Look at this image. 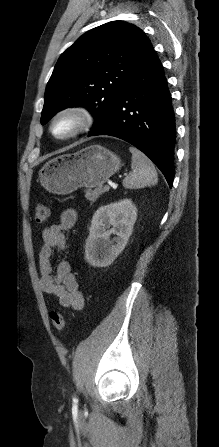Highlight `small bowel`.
I'll use <instances>...</instances> for the list:
<instances>
[{
	"instance_id": "small-bowel-1",
	"label": "small bowel",
	"mask_w": 219,
	"mask_h": 447,
	"mask_svg": "<svg viewBox=\"0 0 219 447\" xmlns=\"http://www.w3.org/2000/svg\"><path fill=\"white\" fill-rule=\"evenodd\" d=\"M77 221V213L69 208L62 212L58 222L42 231L43 245L39 252L40 286L54 296L61 306L74 311L84 307L85 298L79 284L71 272L70 263L62 260L54 267L56 252L67 249L66 232L72 230Z\"/></svg>"
}]
</instances>
